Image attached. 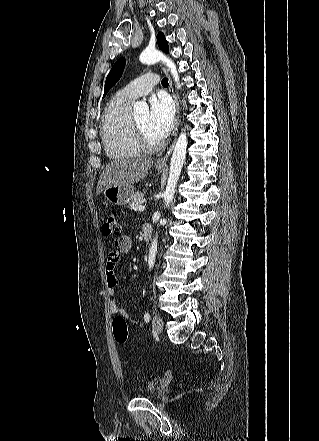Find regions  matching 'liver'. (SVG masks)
<instances>
[{
  "instance_id": "obj_1",
  "label": "liver",
  "mask_w": 319,
  "mask_h": 441,
  "mask_svg": "<svg viewBox=\"0 0 319 441\" xmlns=\"http://www.w3.org/2000/svg\"><path fill=\"white\" fill-rule=\"evenodd\" d=\"M153 160L149 157L115 159L110 161L101 173L96 194L116 185L134 184L145 178Z\"/></svg>"
}]
</instances>
